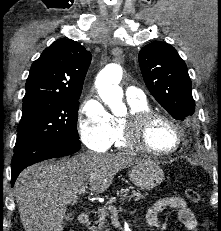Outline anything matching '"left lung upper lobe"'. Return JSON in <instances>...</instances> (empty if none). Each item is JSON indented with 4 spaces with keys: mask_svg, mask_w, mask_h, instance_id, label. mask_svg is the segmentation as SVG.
Masks as SVG:
<instances>
[{
    "mask_svg": "<svg viewBox=\"0 0 221 231\" xmlns=\"http://www.w3.org/2000/svg\"><path fill=\"white\" fill-rule=\"evenodd\" d=\"M144 81L157 102L178 120L194 114L191 80L183 59L171 45L155 41L138 55Z\"/></svg>",
    "mask_w": 221,
    "mask_h": 231,
    "instance_id": "obj_1",
    "label": "left lung upper lobe"
}]
</instances>
